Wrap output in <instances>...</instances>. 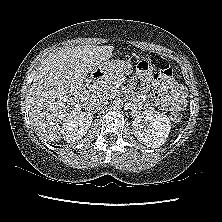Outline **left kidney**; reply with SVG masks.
<instances>
[{
    "label": "left kidney",
    "instance_id": "left-kidney-1",
    "mask_svg": "<svg viewBox=\"0 0 222 222\" xmlns=\"http://www.w3.org/2000/svg\"><path fill=\"white\" fill-rule=\"evenodd\" d=\"M135 137L151 148L163 145L170 133L171 122L167 115L153 110H145L133 123Z\"/></svg>",
    "mask_w": 222,
    "mask_h": 222
}]
</instances>
